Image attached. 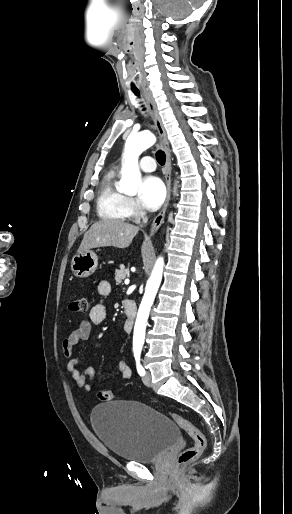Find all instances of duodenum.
<instances>
[{
    "instance_id": "1",
    "label": "duodenum",
    "mask_w": 292,
    "mask_h": 514,
    "mask_svg": "<svg viewBox=\"0 0 292 514\" xmlns=\"http://www.w3.org/2000/svg\"><path fill=\"white\" fill-rule=\"evenodd\" d=\"M124 310L127 314V319H126V322H125V326H124V329L126 332H131L132 328H133V322H134V319L136 317V313H137V305L135 303V301H133L132 299H126L124 301Z\"/></svg>"
}]
</instances>
